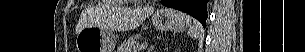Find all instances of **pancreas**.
Instances as JSON below:
<instances>
[{"mask_svg":"<svg viewBox=\"0 0 305 52\" xmlns=\"http://www.w3.org/2000/svg\"><path fill=\"white\" fill-rule=\"evenodd\" d=\"M138 42L134 38H129L118 48L119 52H136Z\"/></svg>","mask_w":305,"mask_h":52,"instance_id":"1","label":"pancreas"}]
</instances>
